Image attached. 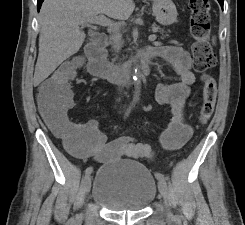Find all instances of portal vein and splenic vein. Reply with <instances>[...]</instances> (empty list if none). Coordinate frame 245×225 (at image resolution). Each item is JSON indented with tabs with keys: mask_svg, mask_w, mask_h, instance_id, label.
I'll use <instances>...</instances> for the list:
<instances>
[{
	"mask_svg": "<svg viewBox=\"0 0 245 225\" xmlns=\"http://www.w3.org/2000/svg\"><path fill=\"white\" fill-rule=\"evenodd\" d=\"M81 23L82 24H85V23L98 24V25L105 26V27H107V26L111 27V26L115 25L112 20L108 19L104 15H98V16L93 17V18H88L86 20H83ZM149 40L155 41L156 35H154V34L150 35Z\"/></svg>",
	"mask_w": 245,
	"mask_h": 225,
	"instance_id": "portal-vein-and-splenic-vein-1",
	"label": "portal vein and splenic vein"
}]
</instances>
